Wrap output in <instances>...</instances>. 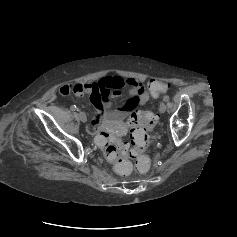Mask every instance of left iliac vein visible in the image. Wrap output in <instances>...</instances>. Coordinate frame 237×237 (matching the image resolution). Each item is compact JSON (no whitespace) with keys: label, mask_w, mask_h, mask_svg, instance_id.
Masks as SVG:
<instances>
[{"label":"left iliac vein","mask_w":237,"mask_h":237,"mask_svg":"<svg viewBox=\"0 0 237 237\" xmlns=\"http://www.w3.org/2000/svg\"><path fill=\"white\" fill-rule=\"evenodd\" d=\"M166 108H167L166 103L162 102L160 104L159 110H160L161 113H164L166 111Z\"/></svg>","instance_id":"obj_1"}]
</instances>
